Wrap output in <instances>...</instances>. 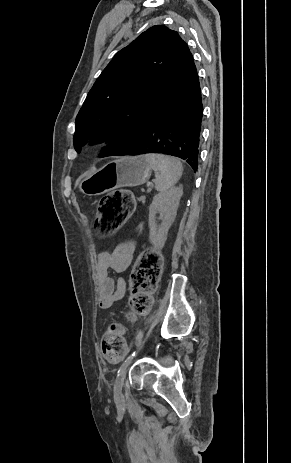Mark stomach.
Masks as SVG:
<instances>
[{
	"label": "stomach",
	"instance_id": "0dacf381",
	"mask_svg": "<svg viewBox=\"0 0 291 463\" xmlns=\"http://www.w3.org/2000/svg\"><path fill=\"white\" fill-rule=\"evenodd\" d=\"M150 175L151 167L144 156H127L85 173L79 179V188L86 195L96 196L144 184Z\"/></svg>",
	"mask_w": 291,
	"mask_h": 463
}]
</instances>
